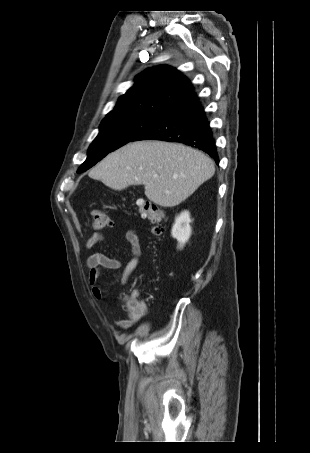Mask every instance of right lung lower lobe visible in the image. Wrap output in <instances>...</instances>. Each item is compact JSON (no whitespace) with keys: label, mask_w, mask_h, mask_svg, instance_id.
Segmentation results:
<instances>
[{"label":"right lung lower lobe","mask_w":310,"mask_h":453,"mask_svg":"<svg viewBox=\"0 0 310 453\" xmlns=\"http://www.w3.org/2000/svg\"><path fill=\"white\" fill-rule=\"evenodd\" d=\"M137 140L180 142L206 152L219 163L211 127L195 92L171 105Z\"/></svg>","instance_id":"right-lung-lower-lobe-1"}]
</instances>
